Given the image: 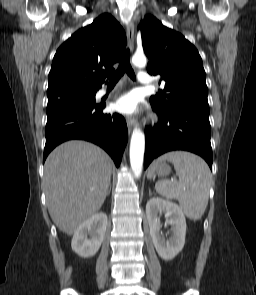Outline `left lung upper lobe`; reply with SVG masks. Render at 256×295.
<instances>
[{
    "mask_svg": "<svg viewBox=\"0 0 256 295\" xmlns=\"http://www.w3.org/2000/svg\"><path fill=\"white\" fill-rule=\"evenodd\" d=\"M140 33L148 73L166 82L160 94L151 96V105L162 113L190 109L209 114L206 73L194 45L150 15L140 23Z\"/></svg>",
    "mask_w": 256,
    "mask_h": 295,
    "instance_id": "5c2ea615",
    "label": "left lung upper lobe"
}]
</instances>
